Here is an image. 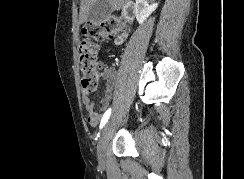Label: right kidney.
I'll return each instance as SVG.
<instances>
[{
  "label": "right kidney",
  "mask_w": 244,
  "mask_h": 179,
  "mask_svg": "<svg viewBox=\"0 0 244 179\" xmlns=\"http://www.w3.org/2000/svg\"><path fill=\"white\" fill-rule=\"evenodd\" d=\"M158 4H151L149 6L147 0H136V20L139 24H143L150 14L156 10Z\"/></svg>",
  "instance_id": "obj_1"
}]
</instances>
